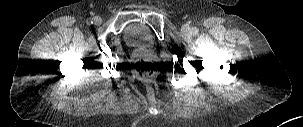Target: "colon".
I'll use <instances>...</instances> for the list:
<instances>
[{
  "label": "colon",
  "mask_w": 303,
  "mask_h": 127,
  "mask_svg": "<svg viewBox=\"0 0 303 127\" xmlns=\"http://www.w3.org/2000/svg\"><path fill=\"white\" fill-rule=\"evenodd\" d=\"M139 71L141 76L144 79H149L151 78L152 74H153V68L152 65L147 64V63H142L139 65Z\"/></svg>",
  "instance_id": "1"
}]
</instances>
